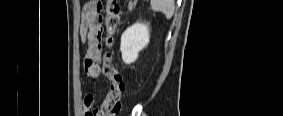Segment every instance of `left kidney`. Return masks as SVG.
Segmentation results:
<instances>
[{
  "instance_id": "obj_1",
  "label": "left kidney",
  "mask_w": 283,
  "mask_h": 116,
  "mask_svg": "<svg viewBox=\"0 0 283 116\" xmlns=\"http://www.w3.org/2000/svg\"><path fill=\"white\" fill-rule=\"evenodd\" d=\"M150 40L146 24L135 23L127 28L121 36L120 50L125 64H131L138 58V53L145 48Z\"/></svg>"
}]
</instances>
